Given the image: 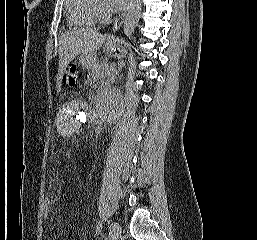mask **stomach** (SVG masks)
Returning a JSON list of instances; mask_svg holds the SVG:
<instances>
[{"label":"stomach","mask_w":257,"mask_h":240,"mask_svg":"<svg viewBox=\"0 0 257 240\" xmlns=\"http://www.w3.org/2000/svg\"><path fill=\"white\" fill-rule=\"evenodd\" d=\"M106 51L109 55L119 56L121 53V45L113 40L108 41L106 44ZM96 62V56L93 55H81L80 56V64L84 69H90Z\"/></svg>","instance_id":"1"}]
</instances>
